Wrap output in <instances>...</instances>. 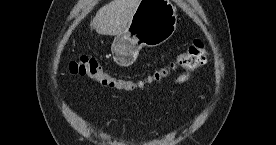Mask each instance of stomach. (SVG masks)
Instances as JSON below:
<instances>
[{"mask_svg":"<svg viewBox=\"0 0 276 145\" xmlns=\"http://www.w3.org/2000/svg\"><path fill=\"white\" fill-rule=\"evenodd\" d=\"M176 26L177 11L168 0H140L127 29L112 42L114 61L122 67L131 65L142 47L163 44Z\"/></svg>","mask_w":276,"mask_h":145,"instance_id":"obj_1","label":"stomach"}]
</instances>
